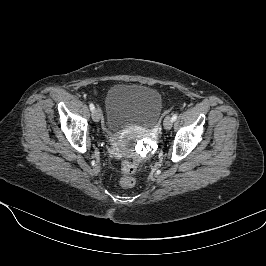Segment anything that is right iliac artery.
<instances>
[{"label":"right iliac artery","instance_id":"82829eb1","mask_svg":"<svg viewBox=\"0 0 266 266\" xmlns=\"http://www.w3.org/2000/svg\"><path fill=\"white\" fill-rule=\"evenodd\" d=\"M89 107H90V110H91V111H93V110L95 109V107H94V104H93V103H90Z\"/></svg>","mask_w":266,"mask_h":266}]
</instances>
